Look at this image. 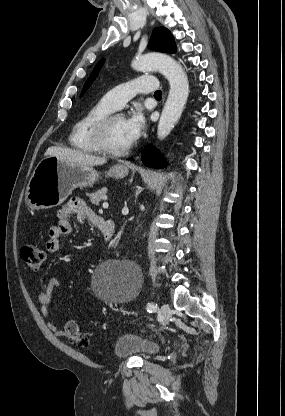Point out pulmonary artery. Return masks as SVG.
I'll use <instances>...</instances> for the list:
<instances>
[{
    "label": "pulmonary artery",
    "mask_w": 285,
    "mask_h": 416,
    "mask_svg": "<svg viewBox=\"0 0 285 416\" xmlns=\"http://www.w3.org/2000/svg\"><path fill=\"white\" fill-rule=\"evenodd\" d=\"M157 84L155 77L143 75L117 87H111L110 91L102 97V101L111 110H117L121 107L122 102L132 101L135 93H149L157 87ZM129 86H134L135 90L133 91Z\"/></svg>",
    "instance_id": "e3ab8cb5"
}]
</instances>
